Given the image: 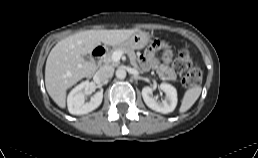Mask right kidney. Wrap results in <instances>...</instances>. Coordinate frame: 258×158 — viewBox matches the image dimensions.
I'll use <instances>...</instances> for the list:
<instances>
[{
  "mask_svg": "<svg viewBox=\"0 0 258 158\" xmlns=\"http://www.w3.org/2000/svg\"><path fill=\"white\" fill-rule=\"evenodd\" d=\"M89 90V81H84L71 90L67 98V106L71 114H87L100 106L103 99V91L96 92L89 102H85V95Z\"/></svg>",
  "mask_w": 258,
  "mask_h": 158,
  "instance_id": "obj_1",
  "label": "right kidney"
}]
</instances>
